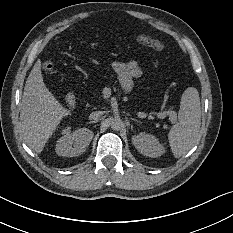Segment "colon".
Masks as SVG:
<instances>
[{"mask_svg": "<svg viewBox=\"0 0 233 233\" xmlns=\"http://www.w3.org/2000/svg\"><path fill=\"white\" fill-rule=\"evenodd\" d=\"M140 41L142 42H146L147 44L151 45L152 47H154L155 49L161 50L163 48L162 44L159 43L158 41L155 40H151V39H143L141 38ZM43 68L45 71H49V72H53L54 71V64L51 61L45 62L43 64Z\"/></svg>", "mask_w": 233, "mask_h": 233, "instance_id": "5ec220e1", "label": "colon"}]
</instances>
